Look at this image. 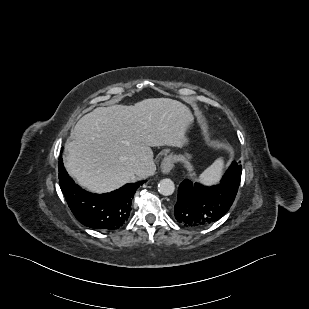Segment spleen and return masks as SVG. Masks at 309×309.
<instances>
[{"instance_id": "spleen-1", "label": "spleen", "mask_w": 309, "mask_h": 309, "mask_svg": "<svg viewBox=\"0 0 309 309\" xmlns=\"http://www.w3.org/2000/svg\"><path fill=\"white\" fill-rule=\"evenodd\" d=\"M224 168L222 158L217 159L210 167L200 174L198 181L206 185L214 184L218 181Z\"/></svg>"}]
</instances>
